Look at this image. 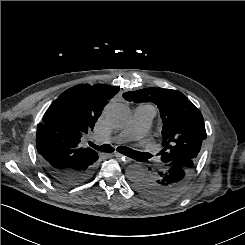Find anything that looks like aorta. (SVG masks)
<instances>
[{
    "label": "aorta",
    "instance_id": "aorta-1",
    "mask_svg": "<svg viewBox=\"0 0 245 245\" xmlns=\"http://www.w3.org/2000/svg\"><path fill=\"white\" fill-rule=\"evenodd\" d=\"M130 109L122 103L108 104L104 110V118L106 122L113 128L122 129L130 121ZM146 175V171L138 164L129 165L126 169V177L135 182Z\"/></svg>",
    "mask_w": 245,
    "mask_h": 245
}]
</instances>
